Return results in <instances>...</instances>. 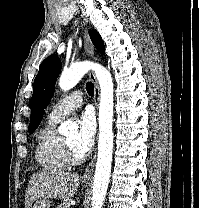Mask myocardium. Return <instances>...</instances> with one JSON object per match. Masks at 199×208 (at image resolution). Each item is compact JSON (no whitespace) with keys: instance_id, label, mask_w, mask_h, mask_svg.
I'll use <instances>...</instances> for the list:
<instances>
[{"instance_id":"myocardium-1","label":"myocardium","mask_w":199,"mask_h":208,"mask_svg":"<svg viewBox=\"0 0 199 208\" xmlns=\"http://www.w3.org/2000/svg\"><path fill=\"white\" fill-rule=\"evenodd\" d=\"M64 150H65L66 160L69 165H77V164H81L82 162H84L85 156L76 155L66 140L64 141Z\"/></svg>"}]
</instances>
